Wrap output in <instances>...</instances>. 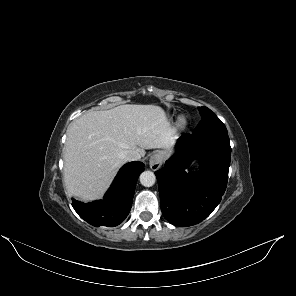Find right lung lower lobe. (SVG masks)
<instances>
[{"mask_svg": "<svg viewBox=\"0 0 296 296\" xmlns=\"http://www.w3.org/2000/svg\"><path fill=\"white\" fill-rule=\"evenodd\" d=\"M144 164L130 162L118 172L103 200L82 203L72 199V206L77 214L93 226L114 227L119 225L129 214L136 182Z\"/></svg>", "mask_w": 296, "mask_h": 296, "instance_id": "obj_1", "label": "right lung lower lobe"}]
</instances>
